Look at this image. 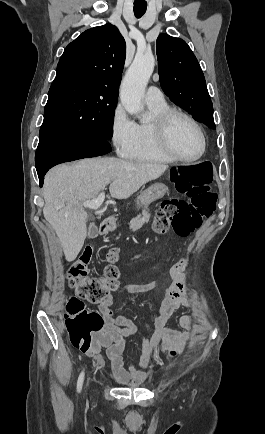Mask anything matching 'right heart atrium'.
Returning a JSON list of instances; mask_svg holds the SVG:
<instances>
[{
  "label": "right heart atrium",
  "instance_id": "d8ad5b80",
  "mask_svg": "<svg viewBox=\"0 0 265 434\" xmlns=\"http://www.w3.org/2000/svg\"><path fill=\"white\" fill-rule=\"evenodd\" d=\"M117 115H111L109 121L111 127V140L113 148H116L119 159H128L129 154H132L135 144V137L133 132L136 130L137 125L134 119H131L126 106H117Z\"/></svg>",
  "mask_w": 265,
  "mask_h": 434
}]
</instances>
